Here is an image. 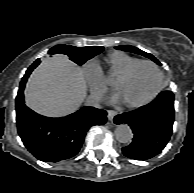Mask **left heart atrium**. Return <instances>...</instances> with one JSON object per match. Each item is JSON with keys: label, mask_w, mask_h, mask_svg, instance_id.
Returning a JSON list of instances; mask_svg holds the SVG:
<instances>
[{"label": "left heart atrium", "mask_w": 194, "mask_h": 193, "mask_svg": "<svg viewBox=\"0 0 194 193\" xmlns=\"http://www.w3.org/2000/svg\"><path fill=\"white\" fill-rule=\"evenodd\" d=\"M119 100H120L119 95L114 96L113 99H112L113 102H117Z\"/></svg>", "instance_id": "1"}]
</instances>
